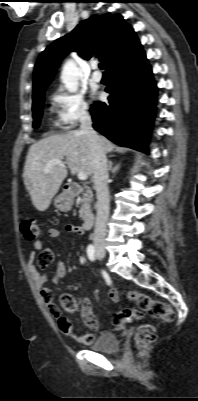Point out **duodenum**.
I'll return each instance as SVG.
<instances>
[{"instance_id": "1", "label": "duodenum", "mask_w": 198, "mask_h": 401, "mask_svg": "<svg viewBox=\"0 0 198 401\" xmlns=\"http://www.w3.org/2000/svg\"><path fill=\"white\" fill-rule=\"evenodd\" d=\"M67 192L70 198L77 197L84 191V187L79 184H70L67 187ZM95 221V215L93 213H87L83 219V229L88 230L92 227Z\"/></svg>"}]
</instances>
